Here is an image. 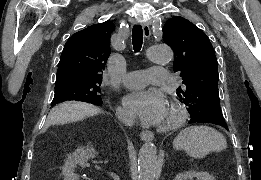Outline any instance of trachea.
<instances>
[{
	"instance_id": "1",
	"label": "trachea",
	"mask_w": 261,
	"mask_h": 180,
	"mask_svg": "<svg viewBox=\"0 0 261 180\" xmlns=\"http://www.w3.org/2000/svg\"><path fill=\"white\" fill-rule=\"evenodd\" d=\"M132 43L135 52H139L143 43V29L141 25H134L132 29Z\"/></svg>"
}]
</instances>
